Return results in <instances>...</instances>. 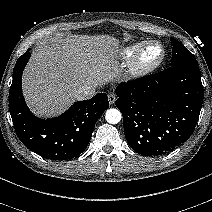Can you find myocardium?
Listing matches in <instances>:
<instances>
[{
    "mask_svg": "<svg viewBox=\"0 0 212 212\" xmlns=\"http://www.w3.org/2000/svg\"><path fill=\"white\" fill-rule=\"evenodd\" d=\"M158 47L160 50L159 56L153 60L145 61L144 56L151 47ZM165 56V50L160 42L150 41L138 47L133 54L129 71L134 77H142L150 74L157 69L162 63Z\"/></svg>",
    "mask_w": 212,
    "mask_h": 212,
    "instance_id": "f54148a6",
    "label": "myocardium"
}]
</instances>
